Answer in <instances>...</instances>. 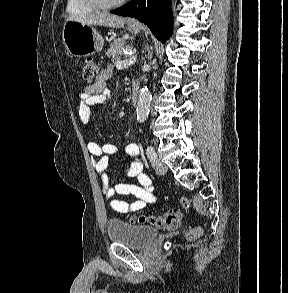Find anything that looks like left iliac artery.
<instances>
[{
  "mask_svg": "<svg viewBox=\"0 0 288 293\" xmlns=\"http://www.w3.org/2000/svg\"><path fill=\"white\" fill-rule=\"evenodd\" d=\"M146 154L151 162H155V160L157 159L156 151L152 146L147 147Z\"/></svg>",
  "mask_w": 288,
  "mask_h": 293,
  "instance_id": "44dca946",
  "label": "left iliac artery"
}]
</instances>
